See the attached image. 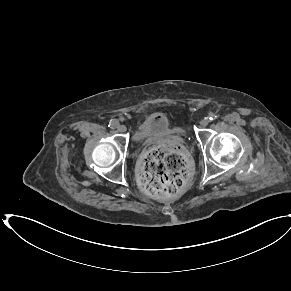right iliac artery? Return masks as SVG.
I'll use <instances>...</instances> for the list:
<instances>
[{
	"mask_svg": "<svg viewBox=\"0 0 291 291\" xmlns=\"http://www.w3.org/2000/svg\"><path fill=\"white\" fill-rule=\"evenodd\" d=\"M110 128L115 129L119 126V122L117 120H110L109 125Z\"/></svg>",
	"mask_w": 291,
	"mask_h": 291,
	"instance_id": "obj_1",
	"label": "right iliac artery"
}]
</instances>
